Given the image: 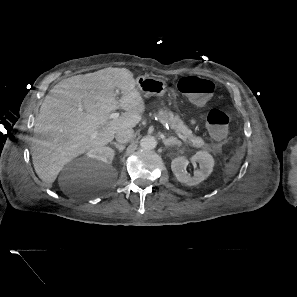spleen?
<instances>
[{
	"label": "spleen",
	"instance_id": "spleen-1",
	"mask_svg": "<svg viewBox=\"0 0 297 297\" xmlns=\"http://www.w3.org/2000/svg\"><path fill=\"white\" fill-rule=\"evenodd\" d=\"M234 171H235V167L231 162L226 164L225 169H224V174L226 176H229V175L233 174Z\"/></svg>",
	"mask_w": 297,
	"mask_h": 297
}]
</instances>
